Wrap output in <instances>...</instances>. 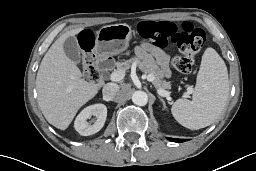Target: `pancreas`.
<instances>
[{
    "label": "pancreas",
    "instance_id": "pancreas-1",
    "mask_svg": "<svg viewBox=\"0 0 256 171\" xmlns=\"http://www.w3.org/2000/svg\"><path fill=\"white\" fill-rule=\"evenodd\" d=\"M133 64H136L138 68L141 71L145 72L147 75H151L154 77V80L152 81V83L156 88L158 89L171 88V83L163 79V72L158 68L151 54L143 51L142 53L139 54L138 57H134L129 60H125L123 62H117L115 65L118 70L126 71Z\"/></svg>",
    "mask_w": 256,
    "mask_h": 171
}]
</instances>
